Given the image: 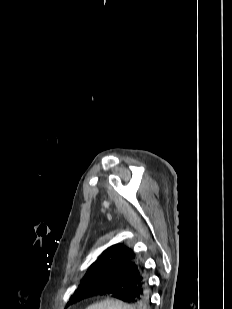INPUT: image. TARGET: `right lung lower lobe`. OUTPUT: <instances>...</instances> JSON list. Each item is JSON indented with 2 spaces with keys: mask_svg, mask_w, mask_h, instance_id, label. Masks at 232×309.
I'll use <instances>...</instances> for the list:
<instances>
[{
  "mask_svg": "<svg viewBox=\"0 0 232 309\" xmlns=\"http://www.w3.org/2000/svg\"><path fill=\"white\" fill-rule=\"evenodd\" d=\"M117 273L130 274L132 279L117 280L112 284L90 286L86 291V298L108 294L133 304L135 309H149L150 293L143 267L135 262L125 263L117 268Z\"/></svg>",
  "mask_w": 232,
  "mask_h": 309,
  "instance_id": "1",
  "label": "right lung lower lobe"
}]
</instances>
